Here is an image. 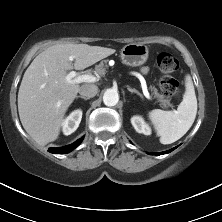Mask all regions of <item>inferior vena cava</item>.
Masks as SVG:
<instances>
[{"instance_id":"obj_1","label":"inferior vena cava","mask_w":222,"mask_h":222,"mask_svg":"<svg viewBox=\"0 0 222 222\" xmlns=\"http://www.w3.org/2000/svg\"><path fill=\"white\" fill-rule=\"evenodd\" d=\"M98 92V87L94 84H84L80 87L79 94L86 98L94 97Z\"/></svg>"}]
</instances>
